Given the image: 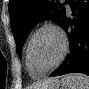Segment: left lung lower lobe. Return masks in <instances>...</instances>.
Returning <instances> with one entry per match:
<instances>
[{"mask_svg":"<svg viewBox=\"0 0 89 89\" xmlns=\"http://www.w3.org/2000/svg\"><path fill=\"white\" fill-rule=\"evenodd\" d=\"M68 4L74 18L65 17L62 28L67 32L73 27L68 32L70 54L50 76L75 72L89 75V0H68Z\"/></svg>","mask_w":89,"mask_h":89,"instance_id":"obj_1","label":"left lung lower lobe"}]
</instances>
